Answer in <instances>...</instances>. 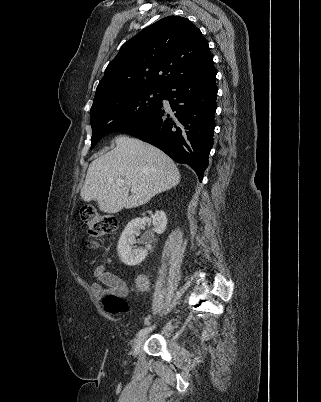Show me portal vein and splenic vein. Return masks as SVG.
<instances>
[{"label":"portal vein and splenic vein","mask_w":321,"mask_h":402,"mask_svg":"<svg viewBox=\"0 0 321 402\" xmlns=\"http://www.w3.org/2000/svg\"><path fill=\"white\" fill-rule=\"evenodd\" d=\"M116 184L119 185V186H123V185H124V180L121 179V178H119V179L116 180ZM131 191H132V192H135L136 189L132 187V188H131Z\"/></svg>","instance_id":"18ae733b"}]
</instances>
